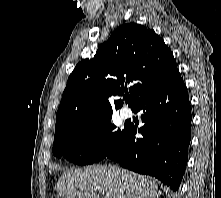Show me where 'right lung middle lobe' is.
I'll list each match as a JSON object with an SVG mask.
<instances>
[{"label": "right lung middle lobe", "mask_w": 221, "mask_h": 198, "mask_svg": "<svg viewBox=\"0 0 221 198\" xmlns=\"http://www.w3.org/2000/svg\"><path fill=\"white\" fill-rule=\"evenodd\" d=\"M110 119L111 115L104 116L77 130L55 137L53 154L78 165L102 160L117 147L128 127L125 125L122 131H112L116 126L111 125Z\"/></svg>", "instance_id": "obj_1"}]
</instances>
